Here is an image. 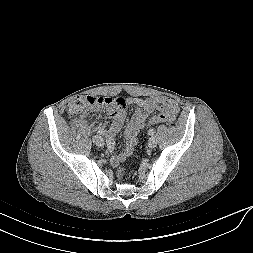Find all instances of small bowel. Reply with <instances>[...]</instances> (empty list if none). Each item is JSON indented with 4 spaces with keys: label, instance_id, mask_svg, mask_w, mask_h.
I'll return each instance as SVG.
<instances>
[{
    "label": "small bowel",
    "instance_id": "c3829d8e",
    "mask_svg": "<svg viewBox=\"0 0 253 253\" xmlns=\"http://www.w3.org/2000/svg\"><path fill=\"white\" fill-rule=\"evenodd\" d=\"M127 103L136 108V112L133 118L127 123L124 137L126 145L122 152L117 155H113L110 158L112 166L116 167L127 157H129L136 145L138 132L146 127L147 118L155 110L160 112L159 115L173 114L176 115L179 112V106L177 102L166 96H154L148 98L131 97L127 99ZM157 115V116H159ZM157 116L151 118V120ZM125 111L116 114L109 128V136L107 137L106 151L111 153L114 149V137L117 132L121 130L125 122Z\"/></svg>",
    "mask_w": 253,
    "mask_h": 253
}]
</instances>
